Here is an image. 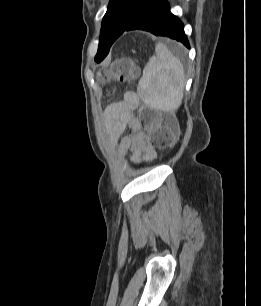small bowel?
Segmentation results:
<instances>
[{"label":"small bowel","mask_w":261,"mask_h":306,"mask_svg":"<svg viewBox=\"0 0 261 306\" xmlns=\"http://www.w3.org/2000/svg\"><path fill=\"white\" fill-rule=\"evenodd\" d=\"M138 104V96L128 92L121 102L113 104L107 111V116L115 120L109 138L110 146H117L119 158H124L130 152V160L134 164L152 162L157 156L149 135L142 130L141 123L134 115ZM124 130L128 131V135L121 137Z\"/></svg>","instance_id":"obj_1"}]
</instances>
